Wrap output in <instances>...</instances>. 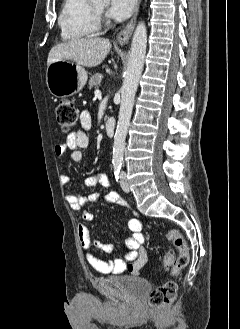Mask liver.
Listing matches in <instances>:
<instances>
[{
    "label": "liver",
    "instance_id": "1",
    "mask_svg": "<svg viewBox=\"0 0 240 329\" xmlns=\"http://www.w3.org/2000/svg\"><path fill=\"white\" fill-rule=\"evenodd\" d=\"M111 49L108 39L82 38L55 45L49 52L47 65L69 60L80 66L95 67L102 63Z\"/></svg>",
    "mask_w": 240,
    "mask_h": 329
}]
</instances>
